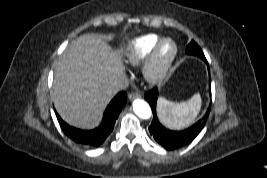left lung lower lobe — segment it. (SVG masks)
I'll list each match as a JSON object with an SVG mask.
<instances>
[{"instance_id":"1","label":"left lung lower lobe","mask_w":267,"mask_h":178,"mask_svg":"<svg viewBox=\"0 0 267 178\" xmlns=\"http://www.w3.org/2000/svg\"><path fill=\"white\" fill-rule=\"evenodd\" d=\"M205 62L207 63V61ZM209 88L211 95V85H209ZM157 98H158L157 88H154L145 94V99L149 102L154 115V118L149 126L150 135L154 138L156 142H158L162 147H164L167 150L179 149L192 142L203 129L206 120L208 118L211 105H209V108L204 117L200 119L198 122H196L194 125L183 131H172L165 128L157 118L156 115Z\"/></svg>"}]
</instances>
